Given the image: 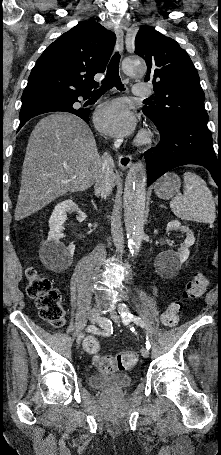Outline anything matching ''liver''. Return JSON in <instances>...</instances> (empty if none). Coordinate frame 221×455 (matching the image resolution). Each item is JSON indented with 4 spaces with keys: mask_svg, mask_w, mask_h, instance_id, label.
<instances>
[{
    "mask_svg": "<svg viewBox=\"0 0 221 455\" xmlns=\"http://www.w3.org/2000/svg\"><path fill=\"white\" fill-rule=\"evenodd\" d=\"M101 165L95 138L82 119L62 112L44 117L28 140L15 220L38 212L67 192L90 188ZM116 179L113 174V185Z\"/></svg>",
    "mask_w": 221,
    "mask_h": 455,
    "instance_id": "obj_1",
    "label": "liver"
}]
</instances>
